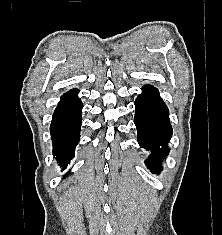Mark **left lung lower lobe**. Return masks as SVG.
<instances>
[{
	"label": "left lung lower lobe",
	"mask_w": 222,
	"mask_h": 235,
	"mask_svg": "<svg viewBox=\"0 0 222 235\" xmlns=\"http://www.w3.org/2000/svg\"><path fill=\"white\" fill-rule=\"evenodd\" d=\"M134 123L138 132L140 147L152 151L146 165L153 173L162 169L161 159L169 153L167 142L172 136V127L169 122V111L158 90L146 85L135 101Z\"/></svg>",
	"instance_id": "0a47b994"
}]
</instances>
